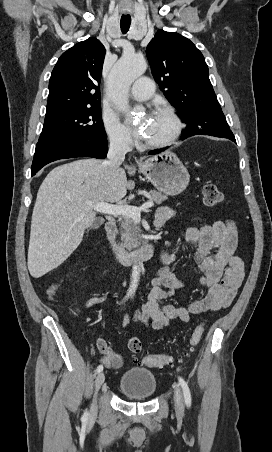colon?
<instances>
[{"instance_id":"5ec220e1","label":"colon","mask_w":272,"mask_h":452,"mask_svg":"<svg viewBox=\"0 0 272 452\" xmlns=\"http://www.w3.org/2000/svg\"><path fill=\"white\" fill-rule=\"evenodd\" d=\"M202 194H203V202L208 207H215V206L221 205L225 201V196H224L223 192L221 190H219V188L213 183L205 184L203 187ZM57 293H58V286L55 284V285L51 286V288L49 289V295H50V297H54ZM203 330H204V324L201 323L190 334L189 347L191 349H193L194 347H196L199 344L202 334H203ZM99 349L102 353L107 352V349L103 342L99 343ZM129 349L133 353H136V354L140 353L141 349H142L141 342L138 340H132L129 343ZM137 362L141 365H146V366L155 367V368H161V367L170 365L172 363V357L169 355H166V354H149V355L144 356L142 359L138 360ZM107 363L116 365L119 363V360L116 358H111L110 360L107 361Z\"/></svg>"}]
</instances>
